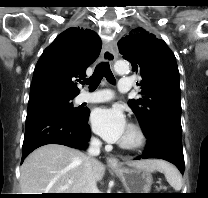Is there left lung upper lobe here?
Instances as JSON below:
<instances>
[{"instance_id":"5c2ea615","label":"left lung upper lobe","mask_w":208,"mask_h":198,"mask_svg":"<svg viewBox=\"0 0 208 198\" xmlns=\"http://www.w3.org/2000/svg\"><path fill=\"white\" fill-rule=\"evenodd\" d=\"M123 58L141 77V98L130 100L145 136L158 127L170 126L182 133L179 71L166 43L142 28L118 41Z\"/></svg>"}]
</instances>
